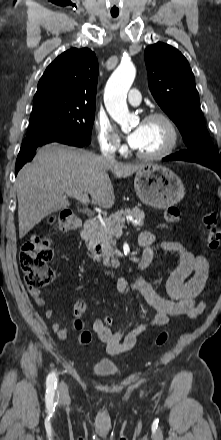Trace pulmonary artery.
<instances>
[{"label": "pulmonary artery", "instance_id": "1", "mask_svg": "<svg viewBox=\"0 0 221 440\" xmlns=\"http://www.w3.org/2000/svg\"><path fill=\"white\" fill-rule=\"evenodd\" d=\"M128 101L132 105H138L141 102V94L137 89H131L128 94Z\"/></svg>", "mask_w": 221, "mask_h": 440}]
</instances>
